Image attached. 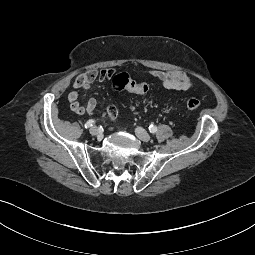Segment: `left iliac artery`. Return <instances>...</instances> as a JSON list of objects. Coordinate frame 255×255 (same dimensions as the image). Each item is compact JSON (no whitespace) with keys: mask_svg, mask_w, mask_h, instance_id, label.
Here are the masks:
<instances>
[{"mask_svg":"<svg viewBox=\"0 0 255 255\" xmlns=\"http://www.w3.org/2000/svg\"><path fill=\"white\" fill-rule=\"evenodd\" d=\"M149 131H150L151 133H156V132H157V127L154 126V125H150V126H149Z\"/></svg>","mask_w":255,"mask_h":255,"instance_id":"44dca946","label":"left iliac artery"}]
</instances>
